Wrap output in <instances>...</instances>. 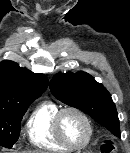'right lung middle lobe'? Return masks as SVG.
Returning a JSON list of instances; mask_svg holds the SVG:
<instances>
[{"mask_svg": "<svg viewBox=\"0 0 130 153\" xmlns=\"http://www.w3.org/2000/svg\"><path fill=\"white\" fill-rule=\"evenodd\" d=\"M30 103L18 107L0 106V146L12 148L16 143L21 119Z\"/></svg>", "mask_w": 130, "mask_h": 153, "instance_id": "obj_1", "label": "right lung middle lobe"}]
</instances>
